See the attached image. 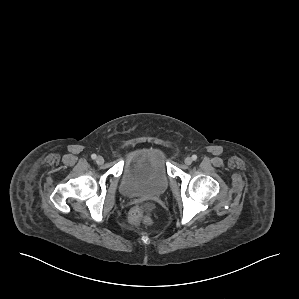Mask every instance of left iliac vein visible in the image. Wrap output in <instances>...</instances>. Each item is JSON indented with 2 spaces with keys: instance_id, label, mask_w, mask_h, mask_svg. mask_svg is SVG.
<instances>
[{
  "instance_id": "obj_1",
  "label": "left iliac vein",
  "mask_w": 299,
  "mask_h": 299,
  "mask_svg": "<svg viewBox=\"0 0 299 299\" xmlns=\"http://www.w3.org/2000/svg\"><path fill=\"white\" fill-rule=\"evenodd\" d=\"M192 161H193V160H192L191 157H186L185 160H184V162H185L186 165H191V164H192Z\"/></svg>"
}]
</instances>
